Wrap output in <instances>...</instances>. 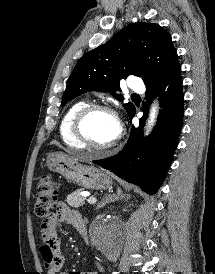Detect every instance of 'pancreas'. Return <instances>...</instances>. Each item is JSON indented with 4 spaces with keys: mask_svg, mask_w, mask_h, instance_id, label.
<instances>
[{
    "mask_svg": "<svg viewBox=\"0 0 215 274\" xmlns=\"http://www.w3.org/2000/svg\"><path fill=\"white\" fill-rule=\"evenodd\" d=\"M82 189H78L67 196L66 202L69 206L79 208L84 205L85 198L81 196Z\"/></svg>",
    "mask_w": 215,
    "mask_h": 274,
    "instance_id": "1",
    "label": "pancreas"
}]
</instances>
